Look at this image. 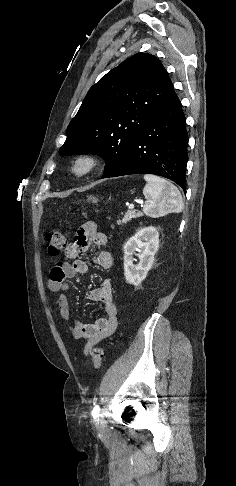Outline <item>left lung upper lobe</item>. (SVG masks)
Here are the masks:
<instances>
[{
	"label": "left lung upper lobe",
	"mask_w": 236,
	"mask_h": 486,
	"mask_svg": "<svg viewBox=\"0 0 236 486\" xmlns=\"http://www.w3.org/2000/svg\"><path fill=\"white\" fill-rule=\"evenodd\" d=\"M174 92L157 57L131 56L90 88L67 127L60 154H98L106 160V176Z\"/></svg>",
	"instance_id": "5c2ea615"
}]
</instances>
